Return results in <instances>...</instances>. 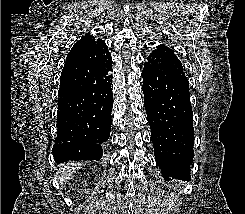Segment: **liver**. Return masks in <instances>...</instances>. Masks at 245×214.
Returning <instances> with one entry per match:
<instances>
[{"mask_svg": "<svg viewBox=\"0 0 245 214\" xmlns=\"http://www.w3.org/2000/svg\"><path fill=\"white\" fill-rule=\"evenodd\" d=\"M81 167L80 163H66L59 167L56 176L58 177L60 185H64L69 177Z\"/></svg>", "mask_w": 245, "mask_h": 214, "instance_id": "1", "label": "liver"}]
</instances>
